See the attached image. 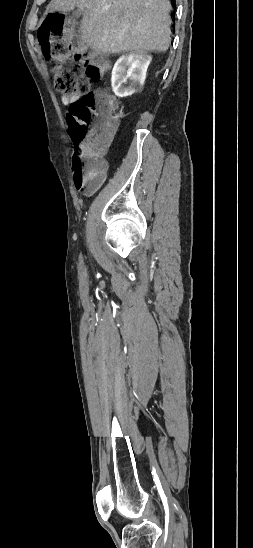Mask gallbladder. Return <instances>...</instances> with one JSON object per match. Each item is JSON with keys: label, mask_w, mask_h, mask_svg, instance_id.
Listing matches in <instances>:
<instances>
[{"label": "gallbladder", "mask_w": 253, "mask_h": 548, "mask_svg": "<svg viewBox=\"0 0 253 548\" xmlns=\"http://www.w3.org/2000/svg\"><path fill=\"white\" fill-rule=\"evenodd\" d=\"M80 15H81V12L78 11V10L73 12V16H75V17H79Z\"/></svg>", "instance_id": "obj_1"}]
</instances>
